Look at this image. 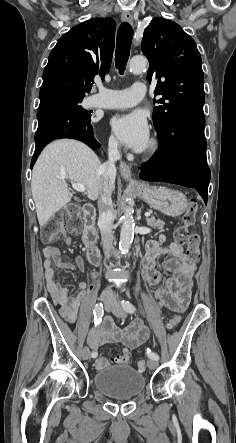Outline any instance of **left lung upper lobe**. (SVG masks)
<instances>
[{"label": "left lung upper lobe", "mask_w": 236, "mask_h": 443, "mask_svg": "<svg viewBox=\"0 0 236 443\" xmlns=\"http://www.w3.org/2000/svg\"><path fill=\"white\" fill-rule=\"evenodd\" d=\"M142 51L149 60L147 80L157 78L153 122L161 131L168 119L187 108L203 109L204 75L195 41L175 22L154 18L146 27Z\"/></svg>", "instance_id": "1"}]
</instances>
